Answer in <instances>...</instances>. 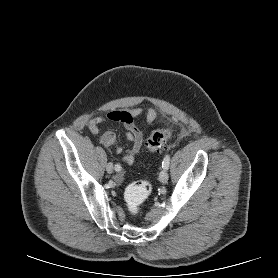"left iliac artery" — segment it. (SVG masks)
Wrapping results in <instances>:
<instances>
[{"label":"left iliac artery","instance_id":"left-iliac-artery-1","mask_svg":"<svg viewBox=\"0 0 278 278\" xmlns=\"http://www.w3.org/2000/svg\"><path fill=\"white\" fill-rule=\"evenodd\" d=\"M169 164H170V156L169 155H166L163 159V162H162V167L163 169H168L169 167Z\"/></svg>","mask_w":278,"mask_h":278}]
</instances>
